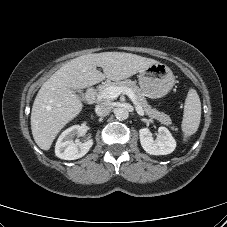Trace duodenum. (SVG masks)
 I'll use <instances>...</instances> for the list:
<instances>
[{
	"label": "duodenum",
	"instance_id": "1",
	"mask_svg": "<svg viewBox=\"0 0 227 227\" xmlns=\"http://www.w3.org/2000/svg\"><path fill=\"white\" fill-rule=\"evenodd\" d=\"M86 101L88 104H93L96 101V91L93 87L87 90Z\"/></svg>",
	"mask_w": 227,
	"mask_h": 227
}]
</instances>
